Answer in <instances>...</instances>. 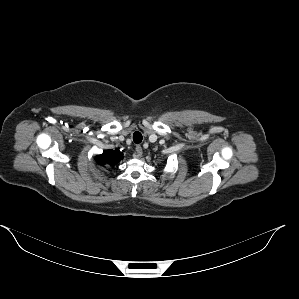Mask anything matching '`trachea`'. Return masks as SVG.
<instances>
[{"label": "trachea", "instance_id": "3493384b", "mask_svg": "<svg viewBox=\"0 0 299 299\" xmlns=\"http://www.w3.org/2000/svg\"><path fill=\"white\" fill-rule=\"evenodd\" d=\"M142 134L139 132V131H136L134 132L133 134V141L136 143V144H139L142 142Z\"/></svg>", "mask_w": 299, "mask_h": 299}]
</instances>
